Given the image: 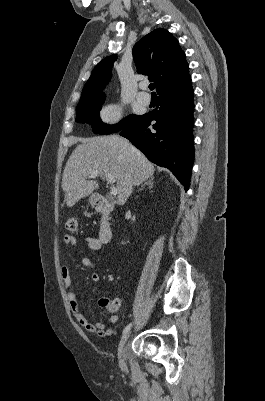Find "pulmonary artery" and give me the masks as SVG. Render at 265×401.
<instances>
[{"label": "pulmonary artery", "instance_id": "1", "mask_svg": "<svg viewBox=\"0 0 265 401\" xmlns=\"http://www.w3.org/2000/svg\"><path fill=\"white\" fill-rule=\"evenodd\" d=\"M144 84H145V82H140V83H139V86L142 87ZM137 100H138L139 102L145 104V105H148V104L150 103V101H151V98H150L149 95H145V96L139 95V96L137 97Z\"/></svg>", "mask_w": 265, "mask_h": 401}]
</instances>
